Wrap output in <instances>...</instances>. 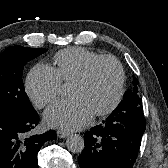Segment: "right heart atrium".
Returning <instances> with one entry per match:
<instances>
[{"instance_id": "right-heart-atrium-1", "label": "right heart atrium", "mask_w": 168, "mask_h": 168, "mask_svg": "<svg viewBox=\"0 0 168 168\" xmlns=\"http://www.w3.org/2000/svg\"><path fill=\"white\" fill-rule=\"evenodd\" d=\"M61 86L62 82L56 69L44 64L34 66L25 81L26 93L38 108L55 101Z\"/></svg>"}]
</instances>
